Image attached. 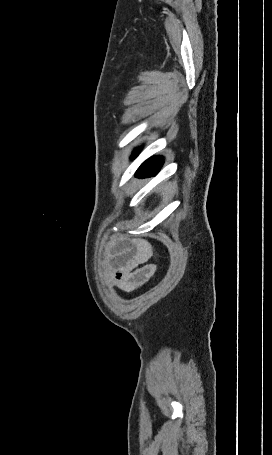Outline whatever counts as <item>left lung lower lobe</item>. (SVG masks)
Instances as JSON below:
<instances>
[{"instance_id": "obj_1", "label": "left lung lower lobe", "mask_w": 272, "mask_h": 455, "mask_svg": "<svg viewBox=\"0 0 272 455\" xmlns=\"http://www.w3.org/2000/svg\"><path fill=\"white\" fill-rule=\"evenodd\" d=\"M139 150L134 153V156L137 155ZM162 166V160L160 157H152L145 161L140 168L137 170L136 175L138 177H147L152 176L158 173Z\"/></svg>"}]
</instances>
